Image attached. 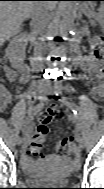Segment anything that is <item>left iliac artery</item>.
<instances>
[{
  "instance_id": "left-iliac-artery-1",
  "label": "left iliac artery",
  "mask_w": 104,
  "mask_h": 189,
  "mask_svg": "<svg viewBox=\"0 0 104 189\" xmlns=\"http://www.w3.org/2000/svg\"><path fill=\"white\" fill-rule=\"evenodd\" d=\"M55 94H56V96H62V94H63L62 89L59 88ZM63 100L65 101L66 98L63 97ZM70 106L73 111V118L76 121V125H73V128H74V131H76V133H77V130H80V124L78 121L79 109L76 105H70ZM80 133H81V130H80Z\"/></svg>"
}]
</instances>
